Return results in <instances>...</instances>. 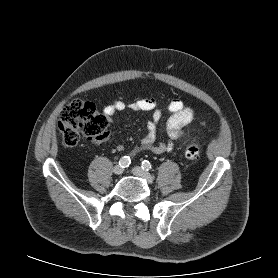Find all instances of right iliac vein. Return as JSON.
I'll return each mask as SVG.
<instances>
[{
  "instance_id": "obj_1",
  "label": "right iliac vein",
  "mask_w": 278,
  "mask_h": 278,
  "mask_svg": "<svg viewBox=\"0 0 278 278\" xmlns=\"http://www.w3.org/2000/svg\"><path fill=\"white\" fill-rule=\"evenodd\" d=\"M113 172L114 174L116 175H120L123 173V168L120 166V165H116L114 168H113Z\"/></svg>"
}]
</instances>
